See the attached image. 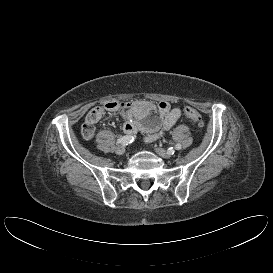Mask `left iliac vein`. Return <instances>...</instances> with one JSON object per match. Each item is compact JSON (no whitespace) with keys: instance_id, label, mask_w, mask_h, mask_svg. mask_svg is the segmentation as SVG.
Returning a JSON list of instances; mask_svg holds the SVG:
<instances>
[{"instance_id":"obj_1","label":"left iliac vein","mask_w":273,"mask_h":273,"mask_svg":"<svg viewBox=\"0 0 273 273\" xmlns=\"http://www.w3.org/2000/svg\"><path fill=\"white\" fill-rule=\"evenodd\" d=\"M155 152L163 158H170L171 157V154L168 151H166L160 147H156Z\"/></svg>"}]
</instances>
